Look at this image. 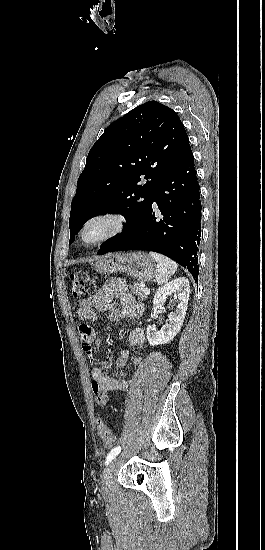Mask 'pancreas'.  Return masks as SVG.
<instances>
[{
  "mask_svg": "<svg viewBox=\"0 0 265 550\" xmlns=\"http://www.w3.org/2000/svg\"><path fill=\"white\" fill-rule=\"evenodd\" d=\"M131 292L137 296L138 299L145 300L147 295L144 294V288L141 287L138 283H134L130 286Z\"/></svg>",
  "mask_w": 265,
  "mask_h": 550,
  "instance_id": "pancreas-1",
  "label": "pancreas"
}]
</instances>
